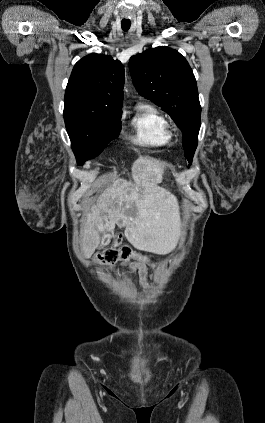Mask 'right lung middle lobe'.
<instances>
[{
    "label": "right lung middle lobe",
    "mask_w": 265,
    "mask_h": 423,
    "mask_svg": "<svg viewBox=\"0 0 265 423\" xmlns=\"http://www.w3.org/2000/svg\"><path fill=\"white\" fill-rule=\"evenodd\" d=\"M121 114H105L90 108L64 107V121L78 164L99 155L119 136Z\"/></svg>",
    "instance_id": "right-lung-middle-lobe-1"
}]
</instances>
